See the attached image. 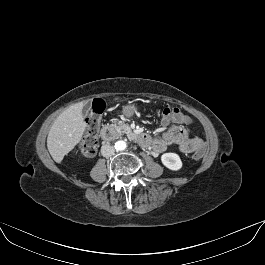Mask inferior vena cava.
<instances>
[{"mask_svg":"<svg viewBox=\"0 0 265 265\" xmlns=\"http://www.w3.org/2000/svg\"><path fill=\"white\" fill-rule=\"evenodd\" d=\"M114 152H115V149L110 144H104L101 147V154L103 157H110L114 154Z\"/></svg>","mask_w":265,"mask_h":265,"instance_id":"obj_1","label":"inferior vena cava"}]
</instances>
